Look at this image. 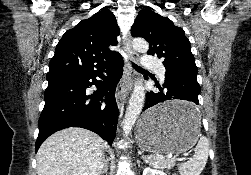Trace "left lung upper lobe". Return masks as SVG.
Masks as SVG:
<instances>
[{
	"label": "left lung upper lobe",
	"mask_w": 251,
	"mask_h": 175,
	"mask_svg": "<svg viewBox=\"0 0 251 175\" xmlns=\"http://www.w3.org/2000/svg\"><path fill=\"white\" fill-rule=\"evenodd\" d=\"M133 37L149 42L147 54L163 59L166 69H176L198 74L190 42L182 28L152 10H140L131 28Z\"/></svg>",
	"instance_id": "5c2ea615"
}]
</instances>
